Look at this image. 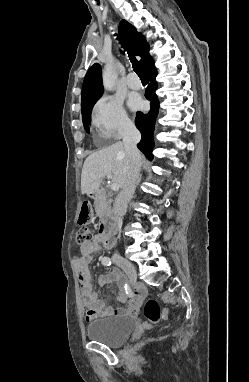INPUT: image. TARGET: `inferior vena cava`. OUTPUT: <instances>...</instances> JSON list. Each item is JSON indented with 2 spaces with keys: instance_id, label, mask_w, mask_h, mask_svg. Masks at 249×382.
Wrapping results in <instances>:
<instances>
[{
  "instance_id": "1",
  "label": "inferior vena cava",
  "mask_w": 249,
  "mask_h": 382,
  "mask_svg": "<svg viewBox=\"0 0 249 382\" xmlns=\"http://www.w3.org/2000/svg\"><path fill=\"white\" fill-rule=\"evenodd\" d=\"M141 139V134L134 124L127 125L123 137V144L129 158V167L126 173L122 189L115 199L114 213L118 217H123L127 211V205L132 199L136 185L139 181L140 153L137 143ZM117 255V254H115Z\"/></svg>"
}]
</instances>
